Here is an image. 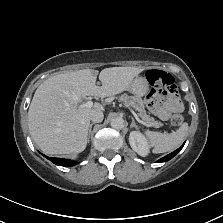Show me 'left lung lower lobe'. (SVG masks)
Segmentation results:
<instances>
[{"label": "left lung lower lobe", "mask_w": 223, "mask_h": 223, "mask_svg": "<svg viewBox=\"0 0 223 223\" xmlns=\"http://www.w3.org/2000/svg\"><path fill=\"white\" fill-rule=\"evenodd\" d=\"M184 144H185V142L183 143V145L180 148H178L174 152L166 155L165 157L159 159L157 162H166V161H169L170 159H172L183 148Z\"/></svg>", "instance_id": "0a47b994"}]
</instances>
